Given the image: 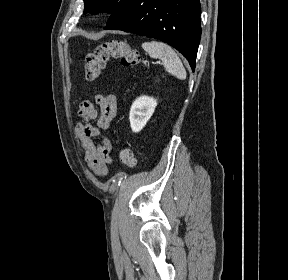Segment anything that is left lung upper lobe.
<instances>
[{"label": "left lung upper lobe", "mask_w": 288, "mask_h": 280, "mask_svg": "<svg viewBox=\"0 0 288 280\" xmlns=\"http://www.w3.org/2000/svg\"><path fill=\"white\" fill-rule=\"evenodd\" d=\"M134 0H84V13L107 12L110 15L107 23L117 21L129 8Z\"/></svg>", "instance_id": "left-lung-upper-lobe-1"}]
</instances>
